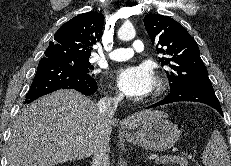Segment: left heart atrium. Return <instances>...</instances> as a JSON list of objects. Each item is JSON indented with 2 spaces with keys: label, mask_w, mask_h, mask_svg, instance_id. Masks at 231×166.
<instances>
[{
  "label": "left heart atrium",
  "mask_w": 231,
  "mask_h": 166,
  "mask_svg": "<svg viewBox=\"0 0 231 166\" xmlns=\"http://www.w3.org/2000/svg\"><path fill=\"white\" fill-rule=\"evenodd\" d=\"M114 80L121 92L129 97L146 96L155 84L154 73L146 64L121 68L114 73Z\"/></svg>",
  "instance_id": "39dd6f15"
}]
</instances>
